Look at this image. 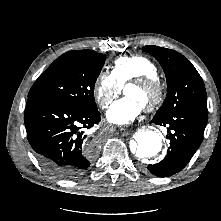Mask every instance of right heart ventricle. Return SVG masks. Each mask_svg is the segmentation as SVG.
<instances>
[{"label":"right heart ventricle","instance_id":"1","mask_svg":"<svg viewBox=\"0 0 221 221\" xmlns=\"http://www.w3.org/2000/svg\"><path fill=\"white\" fill-rule=\"evenodd\" d=\"M110 73L121 86H125L130 80L139 76H157V68L148 57L135 54L117 59Z\"/></svg>","mask_w":221,"mask_h":221}]
</instances>
